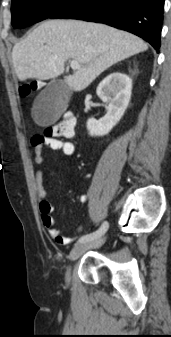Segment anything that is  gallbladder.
<instances>
[{"mask_svg": "<svg viewBox=\"0 0 171 337\" xmlns=\"http://www.w3.org/2000/svg\"><path fill=\"white\" fill-rule=\"evenodd\" d=\"M71 89L62 80H53L39 93L33 105L32 116L39 125L53 124L65 111Z\"/></svg>", "mask_w": 171, "mask_h": 337, "instance_id": "gallbladder-1", "label": "gallbladder"}]
</instances>
